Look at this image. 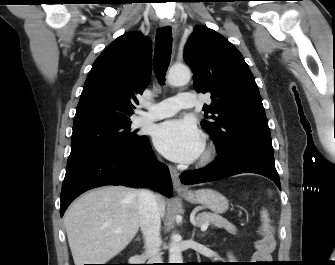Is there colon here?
I'll use <instances>...</instances> for the list:
<instances>
[{
  "mask_svg": "<svg viewBox=\"0 0 335 265\" xmlns=\"http://www.w3.org/2000/svg\"><path fill=\"white\" fill-rule=\"evenodd\" d=\"M275 249V238L269 228H263L259 240L256 243L254 254L255 263L267 265L271 263V255Z\"/></svg>",
  "mask_w": 335,
  "mask_h": 265,
  "instance_id": "5ec220e1",
  "label": "colon"
}]
</instances>
